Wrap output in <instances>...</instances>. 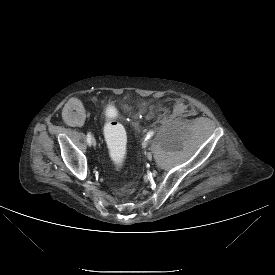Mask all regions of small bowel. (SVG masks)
Listing matches in <instances>:
<instances>
[{
    "label": "small bowel",
    "mask_w": 275,
    "mask_h": 275,
    "mask_svg": "<svg viewBox=\"0 0 275 275\" xmlns=\"http://www.w3.org/2000/svg\"><path fill=\"white\" fill-rule=\"evenodd\" d=\"M84 109V100L80 96L74 95L59 109L58 115L63 122L79 127L85 121Z\"/></svg>",
    "instance_id": "small-bowel-1"
}]
</instances>
